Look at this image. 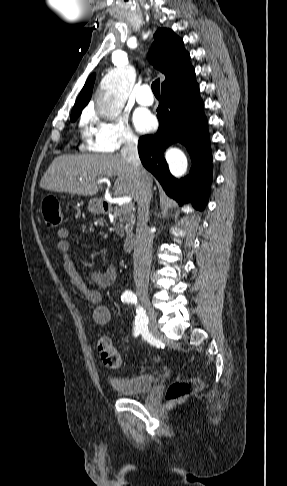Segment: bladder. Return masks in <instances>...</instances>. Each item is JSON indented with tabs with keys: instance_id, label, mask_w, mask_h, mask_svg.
<instances>
[{
	"instance_id": "31cf9c89",
	"label": "bladder",
	"mask_w": 287,
	"mask_h": 486,
	"mask_svg": "<svg viewBox=\"0 0 287 486\" xmlns=\"http://www.w3.org/2000/svg\"><path fill=\"white\" fill-rule=\"evenodd\" d=\"M109 383L115 391L122 395H140L152 389L155 377L152 374H140L131 377L112 376L109 378Z\"/></svg>"
}]
</instances>
